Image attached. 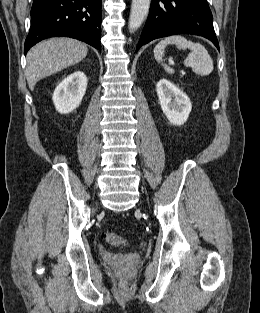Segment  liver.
I'll return each instance as SVG.
<instances>
[{
	"label": "liver",
	"instance_id": "liver-1",
	"mask_svg": "<svg viewBox=\"0 0 260 313\" xmlns=\"http://www.w3.org/2000/svg\"><path fill=\"white\" fill-rule=\"evenodd\" d=\"M87 52L84 43L70 38H51L35 45L27 53L26 79L30 90L40 79L80 62Z\"/></svg>",
	"mask_w": 260,
	"mask_h": 313
}]
</instances>
